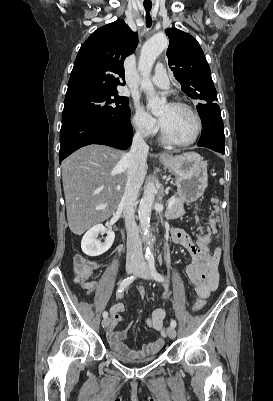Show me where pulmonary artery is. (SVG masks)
<instances>
[{"label": "pulmonary artery", "instance_id": "e3ab8cb5", "mask_svg": "<svg viewBox=\"0 0 273 401\" xmlns=\"http://www.w3.org/2000/svg\"><path fill=\"white\" fill-rule=\"evenodd\" d=\"M155 76L153 80L157 82V87L159 89H167L171 86V83L168 81V71L164 68L163 64L158 63L155 66Z\"/></svg>", "mask_w": 273, "mask_h": 401}]
</instances>
